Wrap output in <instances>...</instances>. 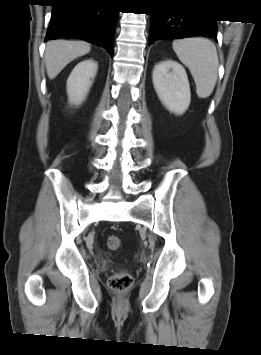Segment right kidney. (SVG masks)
Here are the masks:
<instances>
[{
  "instance_id": "obj_1",
  "label": "right kidney",
  "mask_w": 261,
  "mask_h": 355,
  "mask_svg": "<svg viewBox=\"0 0 261 355\" xmlns=\"http://www.w3.org/2000/svg\"><path fill=\"white\" fill-rule=\"evenodd\" d=\"M98 65L93 59L78 63L67 79V94L71 106L80 105L93 83Z\"/></svg>"
}]
</instances>
